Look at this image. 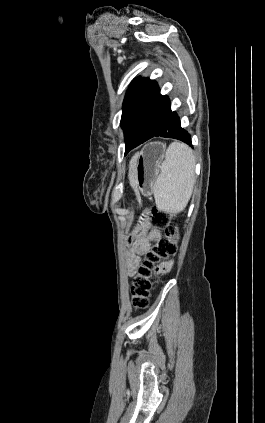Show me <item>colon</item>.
<instances>
[{
    "mask_svg": "<svg viewBox=\"0 0 265 423\" xmlns=\"http://www.w3.org/2000/svg\"><path fill=\"white\" fill-rule=\"evenodd\" d=\"M150 227L164 229L165 234L149 246L145 257L137 268L136 275L132 279V303L137 309H145L149 305V295L152 288L151 278L156 265L177 252L178 230L176 226L171 224L168 212L157 208L144 212L141 223L133 236L137 240Z\"/></svg>",
    "mask_w": 265,
    "mask_h": 423,
    "instance_id": "colon-1",
    "label": "colon"
}]
</instances>
